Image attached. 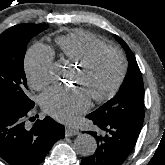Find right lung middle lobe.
Segmentation results:
<instances>
[{
    "label": "right lung middle lobe",
    "mask_w": 165,
    "mask_h": 165,
    "mask_svg": "<svg viewBox=\"0 0 165 165\" xmlns=\"http://www.w3.org/2000/svg\"><path fill=\"white\" fill-rule=\"evenodd\" d=\"M48 28L44 24L15 25L0 35V105L31 108L27 96L24 56L28 42Z\"/></svg>",
    "instance_id": "obj_1"
}]
</instances>
